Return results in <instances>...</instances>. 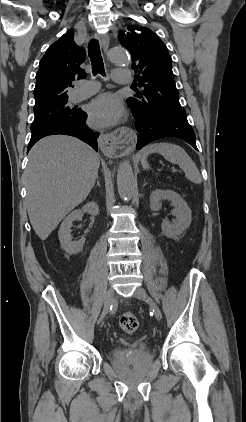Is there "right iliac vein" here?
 I'll return each mask as SVG.
<instances>
[{"mask_svg": "<svg viewBox=\"0 0 246 422\" xmlns=\"http://www.w3.org/2000/svg\"><path fill=\"white\" fill-rule=\"evenodd\" d=\"M114 295H115L114 290L112 288H109L107 293H106L104 307H103L102 313H101V315L98 319V323H101L105 319L107 314L109 313L111 306L115 302V296Z\"/></svg>", "mask_w": 246, "mask_h": 422, "instance_id": "1", "label": "right iliac vein"}]
</instances>
